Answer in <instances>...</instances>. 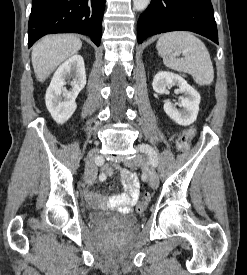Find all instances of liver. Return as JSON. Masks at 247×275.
I'll return each instance as SVG.
<instances>
[{
	"label": "liver",
	"instance_id": "liver-1",
	"mask_svg": "<svg viewBox=\"0 0 247 275\" xmlns=\"http://www.w3.org/2000/svg\"><path fill=\"white\" fill-rule=\"evenodd\" d=\"M82 41L72 34L49 35L32 48V65L39 79L50 74L63 61L76 54Z\"/></svg>",
	"mask_w": 247,
	"mask_h": 275
}]
</instances>
